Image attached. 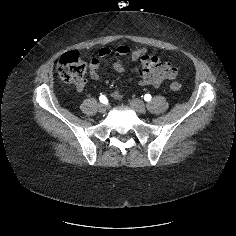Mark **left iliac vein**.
<instances>
[{
    "label": "left iliac vein",
    "instance_id": "obj_1",
    "mask_svg": "<svg viewBox=\"0 0 236 236\" xmlns=\"http://www.w3.org/2000/svg\"><path fill=\"white\" fill-rule=\"evenodd\" d=\"M130 106L137 112V113H140V114H143L145 113L146 111V108H145V105L144 103L139 100V99H132L130 101Z\"/></svg>",
    "mask_w": 236,
    "mask_h": 236
}]
</instances>
